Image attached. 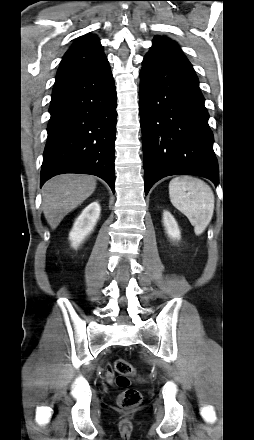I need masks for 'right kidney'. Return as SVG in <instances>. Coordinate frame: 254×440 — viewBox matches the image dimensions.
Listing matches in <instances>:
<instances>
[{
    "instance_id": "obj_1",
    "label": "right kidney",
    "mask_w": 254,
    "mask_h": 440,
    "mask_svg": "<svg viewBox=\"0 0 254 440\" xmlns=\"http://www.w3.org/2000/svg\"><path fill=\"white\" fill-rule=\"evenodd\" d=\"M100 204L96 202L90 203L79 215L74 222L73 228L69 233L71 246L77 248L85 238L94 230L96 223L100 217Z\"/></svg>"
}]
</instances>
